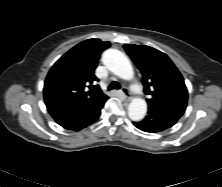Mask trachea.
<instances>
[{"mask_svg":"<svg viewBox=\"0 0 222 187\" xmlns=\"http://www.w3.org/2000/svg\"><path fill=\"white\" fill-rule=\"evenodd\" d=\"M120 89V84L116 81H113L109 86L108 90Z\"/></svg>","mask_w":222,"mask_h":187,"instance_id":"1","label":"trachea"}]
</instances>
